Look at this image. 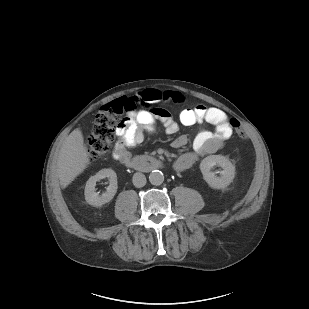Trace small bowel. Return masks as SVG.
Segmentation results:
<instances>
[{"label":"small bowel","instance_id":"small-bowel-1","mask_svg":"<svg viewBox=\"0 0 309 309\" xmlns=\"http://www.w3.org/2000/svg\"><path fill=\"white\" fill-rule=\"evenodd\" d=\"M130 107L127 111V122L117 132V143L113 151V157L119 161H127L130 157L129 148L141 143L145 133H153L157 122H161L168 134H175L179 131V124L171 114L158 107L144 109L160 101H171L182 103L183 97L175 92H160L155 89H147L131 96ZM179 121L184 126H192L196 123L207 122L214 126V131L201 129L195 136L192 143V151L181 155L176 163L177 171L182 172L192 166L201 157L220 150L227 139L233 134L232 123L227 119L226 114L218 108L196 105L184 108L179 113ZM188 142L186 135L178 136L173 146L181 148Z\"/></svg>","mask_w":309,"mask_h":309}]
</instances>
